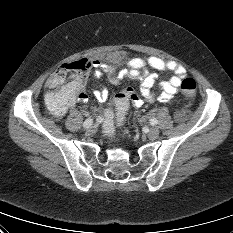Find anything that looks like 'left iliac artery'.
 I'll return each mask as SVG.
<instances>
[{
	"label": "left iliac artery",
	"mask_w": 233,
	"mask_h": 233,
	"mask_svg": "<svg viewBox=\"0 0 233 233\" xmlns=\"http://www.w3.org/2000/svg\"><path fill=\"white\" fill-rule=\"evenodd\" d=\"M158 123V120L156 119V118H152V119H150V124L151 125H156Z\"/></svg>",
	"instance_id": "obj_1"
}]
</instances>
